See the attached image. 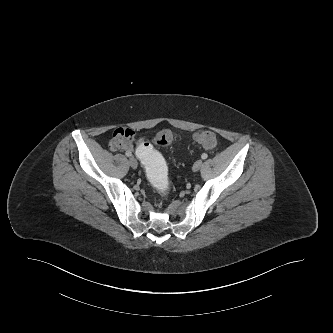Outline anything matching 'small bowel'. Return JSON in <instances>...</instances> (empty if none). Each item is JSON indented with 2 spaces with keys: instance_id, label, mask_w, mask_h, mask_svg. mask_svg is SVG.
<instances>
[{
  "instance_id": "small-bowel-1",
  "label": "small bowel",
  "mask_w": 333,
  "mask_h": 333,
  "mask_svg": "<svg viewBox=\"0 0 333 333\" xmlns=\"http://www.w3.org/2000/svg\"><path fill=\"white\" fill-rule=\"evenodd\" d=\"M137 137L132 128L123 127L113 131L110 147L114 151H136Z\"/></svg>"
}]
</instances>
